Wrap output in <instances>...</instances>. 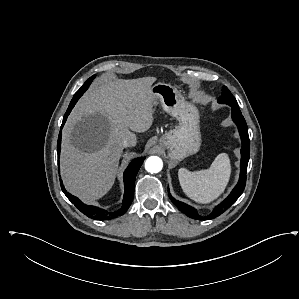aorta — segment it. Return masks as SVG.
Listing matches in <instances>:
<instances>
[{"instance_id":"1","label":"aorta","mask_w":299,"mask_h":299,"mask_svg":"<svg viewBox=\"0 0 299 299\" xmlns=\"http://www.w3.org/2000/svg\"><path fill=\"white\" fill-rule=\"evenodd\" d=\"M163 162L158 156H150L145 162V169L149 173H158L162 170Z\"/></svg>"}]
</instances>
